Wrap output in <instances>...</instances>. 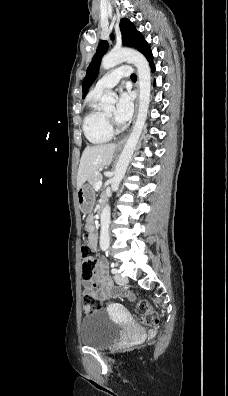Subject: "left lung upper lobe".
<instances>
[{
    "mask_svg": "<svg viewBox=\"0 0 228 396\" xmlns=\"http://www.w3.org/2000/svg\"><path fill=\"white\" fill-rule=\"evenodd\" d=\"M120 30L122 34L123 45L128 47H134L141 53H144L148 48L147 43L144 41L143 36L136 30L135 26L128 19H121ZM113 38V36H112ZM108 48L107 41H101L98 45L96 54L94 55L90 65L87 68V73L82 82L83 96L85 97L88 88L92 85L93 81L96 79L101 59L106 53Z\"/></svg>",
    "mask_w": 228,
    "mask_h": 396,
    "instance_id": "1",
    "label": "left lung upper lobe"
}]
</instances>
